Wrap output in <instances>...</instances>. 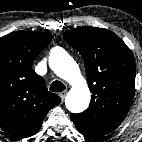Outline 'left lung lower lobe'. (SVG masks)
Here are the masks:
<instances>
[{"mask_svg":"<svg viewBox=\"0 0 142 142\" xmlns=\"http://www.w3.org/2000/svg\"><path fill=\"white\" fill-rule=\"evenodd\" d=\"M81 133V132H80ZM81 134H83V135H85V136H87L86 134H84V133H81ZM87 137H89V136H87ZM91 138V137H90Z\"/></svg>","mask_w":142,"mask_h":142,"instance_id":"0a47b994","label":"left lung lower lobe"}]
</instances>
